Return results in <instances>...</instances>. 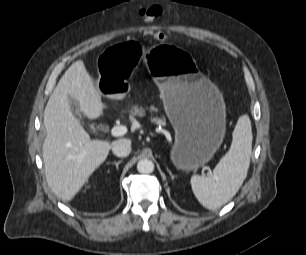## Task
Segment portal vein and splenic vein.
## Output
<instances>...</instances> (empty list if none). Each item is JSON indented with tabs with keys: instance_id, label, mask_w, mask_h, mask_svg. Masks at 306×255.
<instances>
[{
	"instance_id": "obj_1",
	"label": "portal vein and splenic vein",
	"mask_w": 306,
	"mask_h": 255,
	"mask_svg": "<svg viewBox=\"0 0 306 255\" xmlns=\"http://www.w3.org/2000/svg\"><path fill=\"white\" fill-rule=\"evenodd\" d=\"M126 132L127 128L125 126H114L111 129V135L114 137L123 136L124 134H126Z\"/></svg>"
}]
</instances>
